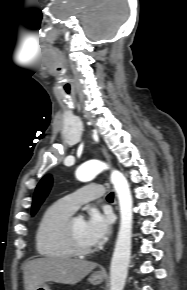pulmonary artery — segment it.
I'll list each match as a JSON object with an SVG mask.
<instances>
[{
  "mask_svg": "<svg viewBox=\"0 0 187 290\" xmlns=\"http://www.w3.org/2000/svg\"><path fill=\"white\" fill-rule=\"evenodd\" d=\"M104 193L105 189L103 186L91 183L67 194L62 198V201L75 211L83 203L100 198Z\"/></svg>",
  "mask_w": 187,
  "mask_h": 290,
  "instance_id": "obj_1",
  "label": "pulmonary artery"
}]
</instances>
